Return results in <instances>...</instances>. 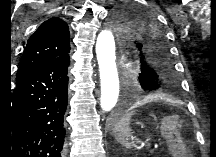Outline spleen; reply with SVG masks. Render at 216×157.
Listing matches in <instances>:
<instances>
[{
	"instance_id": "obj_1",
	"label": "spleen",
	"mask_w": 216,
	"mask_h": 157,
	"mask_svg": "<svg viewBox=\"0 0 216 157\" xmlns=\"http://www.w3.org/2000/svg\"><path fill=\"white\" fill-rule=\"evenodd\" d=\"M135 114V112H131L123 116L114 126L113 135L116 141L124 146L126 149H131L133 147V143L130 139L132 135V129L130 127L131 117Z\"/></svg>"
}]
</instances>
